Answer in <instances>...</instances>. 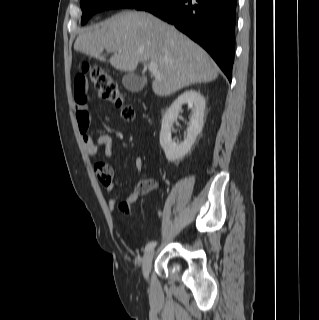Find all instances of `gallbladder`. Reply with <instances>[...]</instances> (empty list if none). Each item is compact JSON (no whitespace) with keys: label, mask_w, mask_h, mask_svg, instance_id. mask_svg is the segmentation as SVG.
Returning <instances> with one entry per match:
<instances>
[{"label":"gallbladder","mask_w":319,"mask_h":320,"mask_svg":"<svg viewBox=\"0 0 319 320\" xmlns=\"http://www.w3.org/2000/svg\"><path fill=\"white\" fill-rule=\"evenodd\" d=\"M122 83L127 90L139 92L145 87L146 81L137 74L129 73L123 77Z\"/></svg>","instance_id":"gallbladder-1"}]
</instances>
